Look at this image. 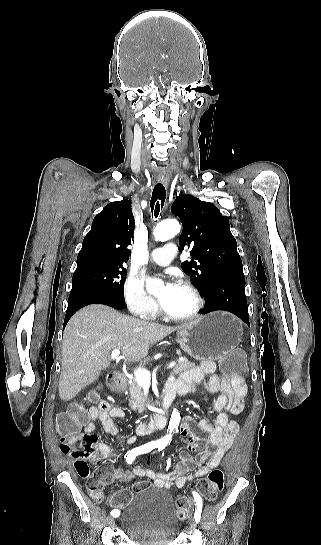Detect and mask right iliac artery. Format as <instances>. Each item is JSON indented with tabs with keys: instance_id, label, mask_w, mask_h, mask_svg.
Wrapping results in <instances>:
<instances>
[{
	"instance_id": "1",
	"label": "right iliac artery",
	"mask_w": 321,
	"mask_h": 545,
	"mask_svg": "<svg viewBox=\"0 0 321 545\" xmlns=\"http://www.w3.org/2000/svg\"><path fill=\"white\" fill-rule=\"evenodd\" d=\"M155 446H156V444L154 442H149V443H147L145 445H142L140 447H137V448H134V449L130 450L129 452H127L125 454L126 462L127 463H132L134 461V459L138 455L150 452L152 449L155 448ZM111 515L113 517H117V516H119V511L118 510H113V511H111Z\"/></svg>"
}]
</instances>
